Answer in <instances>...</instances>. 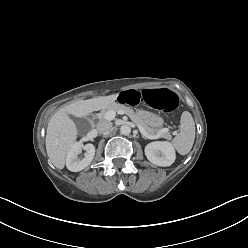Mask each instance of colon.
Instances as JSON below:
<instances>
[{"instance_id": "5ec220e1", "label": "colon", "mask_w": 248, "mask_h": 248, "mask_svg": "<svg viewBox=\"0 0 248 248\" xmlns=\"http://www.w3.org/2000/svg\"><path fill=\"white\" fill-rule=\"evenodd\" d=\"M120 105L149 104L162 112H171L178 106L177 95L167 88L129 89L116 96Z\"/></svg>"}]
</instances>
